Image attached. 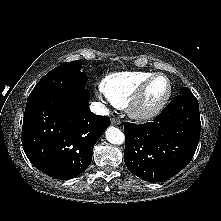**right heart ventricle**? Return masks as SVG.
Here are the masks:
<instances>
[{
	"mask_svg": "<svg viewBox=\"0 0 221 221\" xmlns=\"http://www.w3.org/2000/svg\"><path fill=\"white\" fill-rule=\"evenodd\" d=\"M153 73L148 71H121L105 76L100 89L103 95L116 107L124 108L141 85Z\"/></svg>",
	"mask_w": 221,
	"mask_h": 221,
	"instance_id": "1",
	"label": "right heart ventricle"
}]
</instances>
